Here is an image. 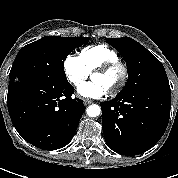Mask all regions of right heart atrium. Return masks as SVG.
Here are the masks:
<instances>
[{"instance_id": "1", "label": "right heart atrium", "mask_w": 178, "mask_h": 178, "mask_svg": "<svg viewBox=\"0 0 178 178\" xmlns=\"http://www.w3.org/2000/svg\"><path fill=\"white\" fill-rule=\"evenodd\" d=\"M63 70L67 80L77 86L89 76V71L79 56L68 55L63 62Z\"/></svg>"}]
</instances>
